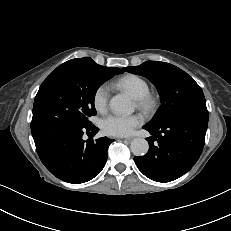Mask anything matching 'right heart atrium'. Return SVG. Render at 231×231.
<instances>
[{
	"label": "right heart atrium",
	"instance_id": "right-heart-atrium-1",
	"mask_svg": "<svg viewBox=\"0 0 231 231\" xmlns=\"http://www.w3.org/2000/svg\"><path fill=\"white\" fill-rule=\"evenodd\" d=\"M109 89L106 85H100L93 93V105L96 111L103 113L107 110Z\"/></svg>",
	"mask_w": 231,
	"mask_h": 231
}]
</instances>
